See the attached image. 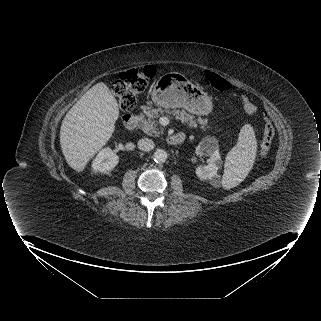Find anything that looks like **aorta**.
<instances>
[{
  "mask_svg": "<svg viewBox=\"0 0 321 321\" xmlns=\"http://www.w3.org/2000/svg\"><path fill=\"white\" fill-rule=\"evenodd\" d=\"M168 154L163 149H157L153 153V159L156 163H164L167 160Z\"/></svg>",
  "mask_w": 321,
  "mask_h": 321,
  "instance_id": "762f6f07",
  "label": "aorta"
}]
</instances>
